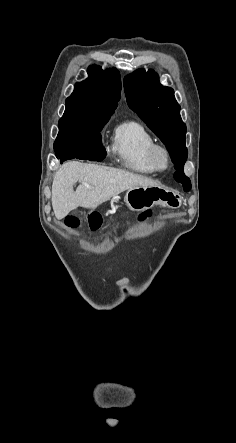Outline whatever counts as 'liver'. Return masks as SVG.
I'll use <instances>...</instances> for the list:
<instances>
[{
    "label": "liver",
    "mask_w": 236,
    "mask_h": 443,
    "mask_svg": "<svg viewBox=\"0 0 236 443\" xmlns=\"http://www.w3.org/2000/svg\"><path fill=\"white\" fill-rule=\"evenodd\" d=\"M81 184L76 191L73 185ZM85 184L91 186L87 188ZM158 186L143 176L116 168L67 162L56 172L52 184V207L57 219H63L77 207L95 209L125 190Z\"/></svg>",
    "instance_id": "6515ba94"
}]
</instances>
